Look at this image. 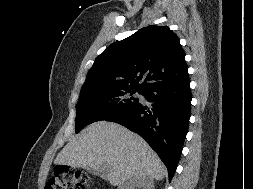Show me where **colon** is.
Segmentation results:
<instances>
[{"label": "colon", "mask_w": 253, "mask_h": 189, "mask_svg": "<svg viewBox=\"0 0 253 189\" xmlns=\"http://www.w3.org/2000/svg\"><path fill=\"white\" fill-rule=\"evenodd\" d=\"M89 177L82 171L59 166L46 183L45 189H87Z\"/></svg>", "instance_id": "colon-1"}]
</instances>
